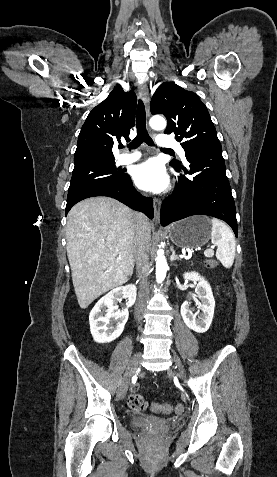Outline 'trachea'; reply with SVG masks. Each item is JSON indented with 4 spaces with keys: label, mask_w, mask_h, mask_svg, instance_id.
I'll list each match as a JSON object with an SVG mask.
<instances>
[{
    "label": "trachea",
    "mask_w": 277,
    "mask_h": 477,
    "mask_svg": "<svg viewBox=\"0 0 277 477\" xmlns=\"http://www.w3.org/2000/svg\"><path fill=\"white\" fill-rule=\"evenodd\" d=\"M136 129H137V136L128 145L130 149H136L143 142H145L149 146H154V142L149 136L146 129L145 106L141 100H139L138 108H137ZM121 147L123 146L121 145ZM161 150L166 152H173L172 150L165 149V148H161Z\"/></svg>",
    "instance_id": "trachea-1"
}]
</instances>
